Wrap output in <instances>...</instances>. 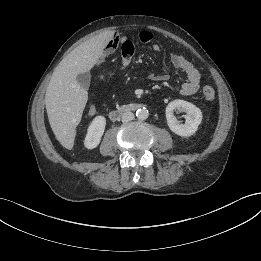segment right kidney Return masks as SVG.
<instances>
[{
  "label": "right kidney",
  "mask_w": 261,
  "mask_h": 261,
  "mask_svg": "<svg viewBox=\"0 0 261 261\" xmlns=\"http://www.w3.org/2000/svg\"><path fill=\"white\" fill-rule=\"evenodd\" d=\"M105 126L106 118L104 116L99 115L92 120L84 140V145L87 149H94L99 145L101 137L104 134Z\"/></svg>",
  "instance_id": "right-kidney-1"
}]
</instances>
